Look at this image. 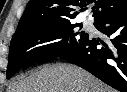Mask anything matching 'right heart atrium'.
I'll use <instances>...</instances> for the list:
<instances>
[{"instance_id": "right-heart-atrium-1", "label": "right heart atrium", "mask_w": 127, "mask_h": 92, "mask_svg": "<svg viewBox=\"0 0 127 92\" xmlns=\"http://www.w3.org/2000/svg\"><path fill=\"white\" fill-rule=\"evenodd\" d=\"M56 45H57V41L52 39V40H49L46 44V49L48 51H53L55 48H56Z\"/></svg>"}]
</instances>
